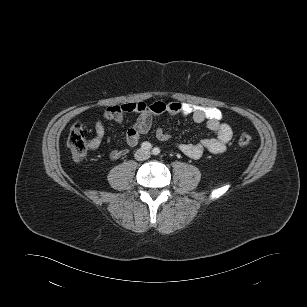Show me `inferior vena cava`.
<instances>
[{
	"mask_svg": "<svg viewBox=\"0 0 307 307\" xmlns=\"http://www.w3.org/2000/svg\"><path fill=\"white\" fill-rule=\"evenodd\" d=\"M150 157V153L145 150H138V152L135 154V158L138 161L146 160Z\"/></svg>",
	"mask_w": 307,
	"mask_h": 307,
	"instance_id": "obj_1",
	"label": "inferior vena cava"
}]
</instances>
